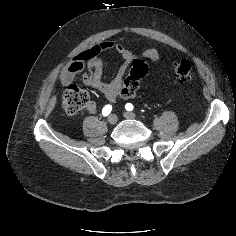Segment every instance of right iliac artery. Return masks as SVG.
<instances>
[{"label":"right iliac artery","instance_id":"1","mask_svg":"<svg viewBox=\"0 0 236 236\" xmlns=\"http://www.w3.org/2000/svg\"><path fill=\"white\" fill-rule=\"evenodd\" d=\"M111 111H112V106L111 105H105L104 107H103V109H102V115L104 116V117H106V116H108L110 113H111Z\"/></svg>","mask_w":236,"mask_h":236}]
</instances>
